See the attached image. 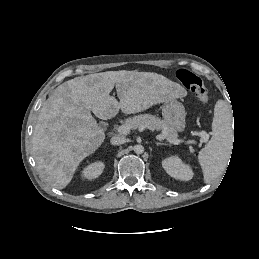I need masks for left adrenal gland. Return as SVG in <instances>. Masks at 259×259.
Returning a JSON list of instances; mask_svg holds the SVG:
<instances>
[{"label": "left adrenal gland", "mask_w": 259, "mask_h": 259, "mask_svg": "<svg viewBox=\"0 0 259 259\" xmlns=\"http://www.w3.org/2000/svg\"><path fill=\"white\" fill-rule=\"evenodd\" d=\"M156 145L159 146V145H168L166 143H161V142H156Z\"/></svg>", "instance_id": "1"}]
</instances>
